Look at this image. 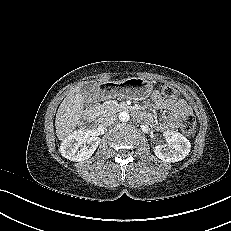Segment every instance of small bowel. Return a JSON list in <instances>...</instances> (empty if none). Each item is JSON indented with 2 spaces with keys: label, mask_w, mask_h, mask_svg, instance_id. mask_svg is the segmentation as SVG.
I'll use <instances>...</instances> for the list:
<instances>
[{
  "label": "small bowel",
  "mask_w": 231,
  "mask_h": 231,
  "mask_svg": "<svg viewBox=\"0 0 231 231\" xmlns=\"http://www.w3.org/2000/svg\"><path fill=\"white\" fill-rule=\"evenodd\" d=\"M151 106L168 113L160 123L155 124V127L160 131H167L175 128L180 118L191 114V109L185 100L177 98L164 99L158 91H154L151 96ZM141 116L143 115L141 114ZM144 118L148 123L154 124L153 115L147 114Z\"/></svg>",
  "instance_id": "small-bowel-1"
}]
</instances>
